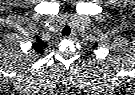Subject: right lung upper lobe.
I'll use <instances>...</instances> for the list:
<instances>
[{
  "instance_id": "obj_1",
  "label": "right lung upper lobe",
  "mask_w": 135,
  "mask_h": 95,
  "mask_svg": "<svg viewBox=\"0 0 135 95\" xmlns=\"http://www.w3.org/2000/svg\"><path fill=\"white\" fill-rule=\"evenodd\" d=\"M47 46V42L42 41L37 35L35 36V41L32 44V49L38 56L43 55Z\"/></svg>"
}]
</instances>
